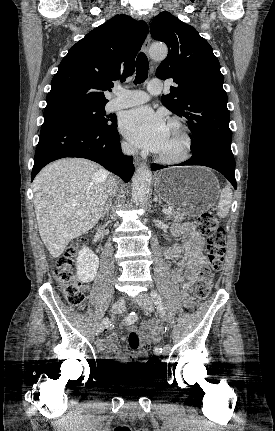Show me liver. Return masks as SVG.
<instances>
[{
  "instance_id": "liver-1",
  "label": "liver",
  "mask_w": 275,
  "mask_h": 431,
  "mask_svg": "<svg viewBox=\"0 0 275 431\" xmlns=\"http://www.w3.org/2000/svg\"><path fill=\"white\" fill-rule=\"evenodd\" d=\"M109 172L82 158L44 167L33 182L34 208L42 241L52 257L99 221L108 198Z\"/></svg>"
}]
</instances>
